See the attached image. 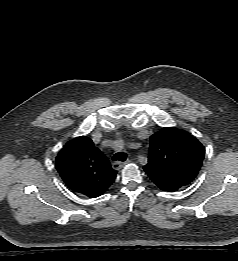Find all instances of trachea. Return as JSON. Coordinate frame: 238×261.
I'll list each match as a JSON object with an SVG mask.
<instances>
[{
  "mask_svg": "<svg viewBox=\"0 0 238 261\" xmlns=\"http://www.w3.org/2000/svg\"><path fill=\"white\" fill-rule=\"evenodd\" d=\"M126 158H127V154H126V153H124V152H118V153H116V154L113 156L112 160H113V161H121V162H124V161L126 160Z\"/></svg>",
  "mask_w": 238,
  "mask_h": 261,
  "instance_id": "obj_1",
  "label": "trachea"
}]
</instances>
